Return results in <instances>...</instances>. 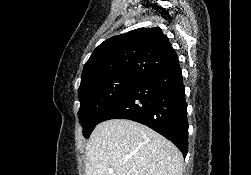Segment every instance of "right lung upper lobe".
<instances>
[{
	"mask_svg": "<svg viewBox=\"0 0 251 175\" xmlns=\"http://www.w3.org/2000/svg\"><path fill=\"white\" fill-rule=\"evenodd\" d=\"M178 64L175 50L159 27L140 28L102 42L84 65L80 87L119 76L143 79Z\"/></svg>",
	"mask_w": 251,
	"mask_h": 175,
	"instance_id": "1",
	"label": "right lung upper lobe"
}]
</instances>
